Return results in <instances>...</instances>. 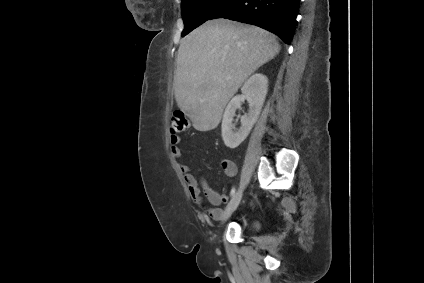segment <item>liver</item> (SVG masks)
Masks as SVG:
<instances>
[{"instance_id":"1","label":"liver","mask_w":424,"mask_h":283,"mask_svg":"<svg viewBox=\"0 0 424 283\" xmlns=\"http://www.w3.org/2000/svg\"><path fill=\"white\" fill-rule=\"evenodd\" d=\"M275 35L255 25L214 19L180 42L174 95L198 131L220 123L245 80L280 51Z\"/></svg>"}]
</instances>
